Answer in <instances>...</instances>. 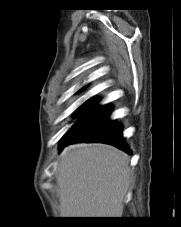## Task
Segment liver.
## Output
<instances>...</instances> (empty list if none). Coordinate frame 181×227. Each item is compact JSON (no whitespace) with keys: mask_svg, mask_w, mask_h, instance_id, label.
Returning a JSON list of instances; mask_svg holds the SVG:
<instances>
[{"mask_svg":"<svg viewBox=\"0 0 181 227\" xmlns=\"http://www.w3.org/2000/svg\"><path fill=\"white\" fill-rule=\"evenodd\" d=\"M130 158L100 143H78L59 156L57 187L62 217H121L131 180Z\"/></svg>","mask_w":181,"mask_h":227,"instance_id":"liver-1","label":"liver"}]
</instances>
